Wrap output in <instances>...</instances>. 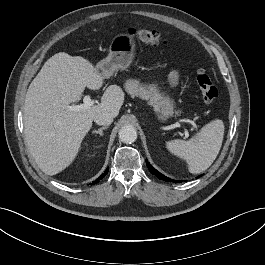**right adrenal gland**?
I'll return each instance as SVG.
<instances>
[{"mask_svg":"<svg viewBox=\"0 0 265 265\" xmlns=\"http://www.w3.org/2000/svg\"><path fill=\"white\" fill-rule=\"evenodd\" d=\"M107 128H108V126H104V127L99 128L98 130H93L92 133L93 134H99L100 136H103V130H105Z\"/></svg>","mask_w":265,"mask_h":265,"instance_id":"2a0ac1e0","label":"right adrenal gland"}]
</instances>
